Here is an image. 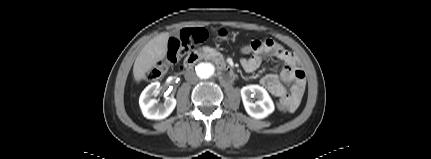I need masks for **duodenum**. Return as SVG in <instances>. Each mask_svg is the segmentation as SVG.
Segmentation results:
<instances>
[{"label":"duodenum","instance_id":"duodenum-1","mask_svg":"<svg viewBox=\"0 0 431 159\" xmlns=\"http://www.w3.org/2000/svg\"><path fill=\"white\" fill-rule=\"evenodd\" d=\"M204 58V54L198 51L191 52L184 61L185 69L192 68L199 60ZM218 70L220 72V79L223 82H231L234 79V72L230 66L222 59L215 57Z\"/></svg>","mask_w":431,"mask_h":159}]
</instances>
